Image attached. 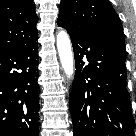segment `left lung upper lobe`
I'll return each instance as SVG.
<instances>
[{
	"label": "left lung upper lobe",
	"mask_w": 136,
	"mask_h": 136,
	"mask_svg": "<svg viewBox=\"0 0 136 136\" xmlns=\"http://www.w3.org/2000/svg\"><path fill=\"white\" fill-rule=\"evenodd\" d=\"M57 23L68 32L108 37L125 46L121 21L108 0H62Z\"/></svg>",
	"instance_id": "obj_1"
}]
</instances>
